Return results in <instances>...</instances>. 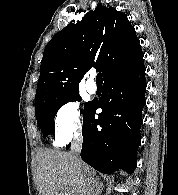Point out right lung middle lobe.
<instances>
[{"mask_svg": "<svg viewBox=\"0 0 178 195\" xmlns=\"http://www.w3.org/2000/svg\"><path fill=\"white\" fill-rule=\"evenodd\" d=\"M71 101H80L79 93L72 94L70 96L49 100L42 103L41 105L35 108L36 119L39 128L43 132V137L46 138L49 134L52 133L54 128V117L59 110V108ZM90 103L84 104V110L86 111Z\"/></svg>", "mask_w": 178, "mask_h": 195, "instance_id": "obj_1", "label": "right lung middle lobe"}]
</instances>
